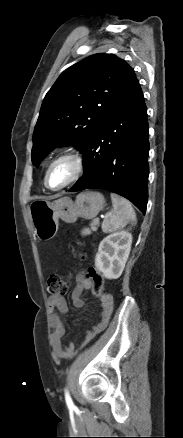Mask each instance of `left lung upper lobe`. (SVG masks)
Listing matches in <instances>:
<instances>
[{"mask_svg":"<svg viewBox=\"0 0 183 438\" xmlns=\"http://www.w3.org/2000/svg\"><path fill=\"white\" fill-rule=\"evenodd\" d=\"M136 80L134 70L113 54L91 55L66 69L43 100L32 161L39 163L60 144H73L83 152Z\"/></svg>","mask_w":183,"mask_h":438,"instance_id":"5c2ea615","label":"left lung upper lobe"}]
</instances>
